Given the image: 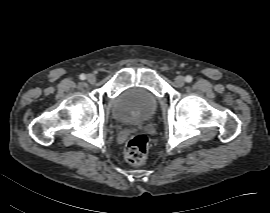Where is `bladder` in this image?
<instances>
[{
	"label": "bladder",
	"instance_id": "1",
	"mask_svg": "<svg viewBox=\"0 0 270 213\" xmlns=\"http://www.w3.org/2000/svg\"><path fill=\"white\" fill-rule=\"evenodd\" d=\"M159 105L158 97L150 90L133 87L123 90L113 99L112 118L119 123H139L149 120Z\"/></svg>",
	"mask_w": 270,
	"mask_h": 213
}]
</instances>
